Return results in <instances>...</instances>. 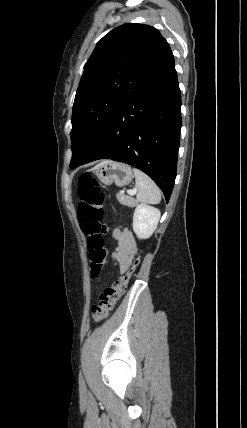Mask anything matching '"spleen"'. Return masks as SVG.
I'll return each instance as SVG.
<instances>
[{
    "label": "spleen",
    "instance_id": "spleen-1",
    "mask_svg": "<svg viewBox=\"0 0 247 428\" xmlns=\"http://www.w3.org/2000/svg\"><path fill=\"white\" fill-rule=\"evenodd\" d=\"M135 183L138 189L137 200L142 203L158 204L161 201V192L154 181L144 172L134 168Z\"/></svg>",
    "mask_w": 247,
    "mask_h": 428
}]
</instances>
